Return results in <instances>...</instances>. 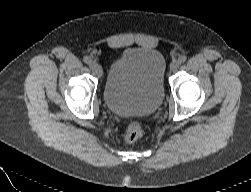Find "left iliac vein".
I'll list each match as a JSON object with an SVG mask.
<instances>
[{"instance_id":"1","label":"left iliac vein","mask_w":251,"mask_h":192,"mask_svg":"<svg viewBox=\"0 0 251 192\" xmlns=\"http://www.w3.org/2000/svg\"><path fill=\"white\" fill-rule=\"evenodd\" d=\"M180 66V62L178 60H174L170 65L171 71H176Z\"/></svg>"}]
</instances>
